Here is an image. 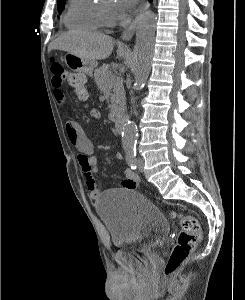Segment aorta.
I'll return each instance as SVG.
<instances>
[{
    "label": "aorta",
    "mask_w": 245,
    "mask_h": 300,
    "mask_svg": "<svg viewBox=\"0 0 245 300\" xmlns=\"http://www.w3.org/2000/svg\"><path fill=\"white\" fill-rule=\"evenodd\" d=\"M157 17L154 12H145L139 20L135 46V83L140 90L144 87L151 69L154 51V39ZM137 139V127L133 121H128L122 132V144L125 150H132Z\"/></svg>",
    "instance_id": "aorta-1"
}]
</instances>
